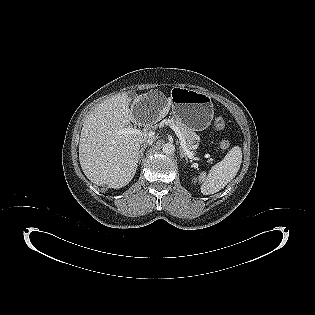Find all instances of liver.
I'll list each match as a JSON object with an SVG mask.
<instances>
[{
    "mask_svg": "<svg viewBox=\"0 0 315 315\" xmlns=\"http://www.w3.org/2000/svg\"><path fill=\"white\" fill-rule=\"evenodd\" d=\"M146 97V96H144ZM134 99V104L143 100ZM127 93L117 94L98 104L87 115L80 135L79 161L86 177L94 184L121 188L134 177L143 135H120L136 118L129 108ZM170 99L159 110L156 120L164 118L170 109Z\"/></svg>",
    "mask_w": 315,
    "mask_h": 315,
    "instance_id": "1",
    "label": "liver"
}]
</instances>
